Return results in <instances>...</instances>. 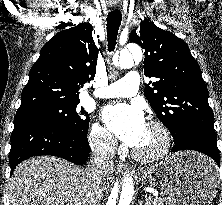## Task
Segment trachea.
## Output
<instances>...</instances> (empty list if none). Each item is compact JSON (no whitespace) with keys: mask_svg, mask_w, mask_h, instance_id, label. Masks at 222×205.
I'll list each match as a JSON object with an SVG mask.
<instances>
[{"mask_svg":"<svg viewBox=\"0 0 222 205\" xmlns=\"http://www.w3.org/2000/svg\"><path fill=\"white\" fill-rule=\"evenodd\" d=\"M121 20H122V14L119 10L116 9L109 12L107 17V41H108L109 52L115 49Z\"/></svg>","mask_w":222,"mask_h":205,"instance_id":"trachea-1","label":"trachea"}]
</instances>
